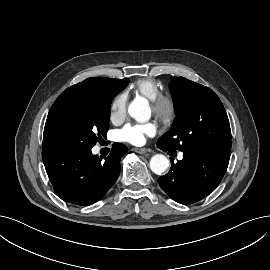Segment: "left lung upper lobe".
<instances>
[{
  "label": "left lung upper lobe",
  "instance_id": "5c2ea615",
  "mask_svg": "<svg viewBox=\"0 0 270 270\" xmlns=\"http://www.w3.org/2000/svg\"><path fill=\"white\" fill-rule=\"evenodd\" d=\"M170 91L176 119L157 145L169 150H231V129L219 97L210 88L184 77H172Z\"/></svg>",
  "mask_w": 270,
  "mask_h": 270
}]
</instances>
